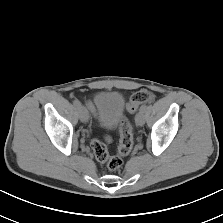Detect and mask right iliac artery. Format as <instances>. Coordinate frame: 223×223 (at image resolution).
Segmentation results:
<instances>
[{
	"label": "right iliac artery",
	"instance_id": "obj_1",
	"mask_svg": "<svg viewBox=\"0 0 223 223\" xmlns=\"http://www.w3.org/2000/svg\"><path fill=\"white\" fill-rule=\"evenodd\" d=\"M73 105L77 108H79V106L81 105L80 102L78 100H73Z\"/></svg>",
	"mask_w": 223,
	"mask_h": 223
}]
</instances>
